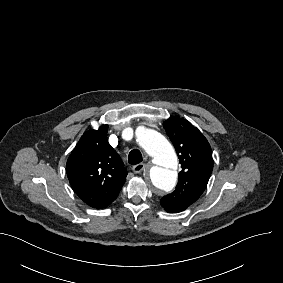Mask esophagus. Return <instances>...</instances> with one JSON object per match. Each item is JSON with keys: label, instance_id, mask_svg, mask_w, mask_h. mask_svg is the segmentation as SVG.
Instances as JSON below:
<instances>
[{"label": "esophagus", "instance_id": "obj_1", "mask_svg": "<svg viewBox=\"0 0 283 283\" xmlns=\"http://www.w3.org/2000/svg\"><path fill=\"white\" fill-rule=\"evenodd\" d=\"M146 166L147 165L145 163H139L137 165H134L132 167V170H133L134 173L138 174V173L142 172L146 168Z\"/></svg>", "mask_w": 283, "mask_h": 283}]
</instances>
